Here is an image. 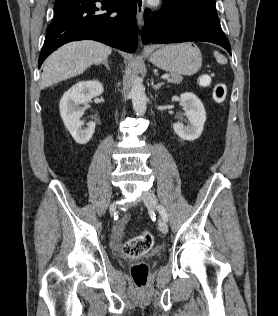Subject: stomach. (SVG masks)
<instances>
[{"instance_id": "0dacf381", "label": "stomach", "mask_w": 278, "mask_h": 316, "mask_svg": "<svg viewBox=\"0 0 278 316\" xmlns=\"http://www.w3.org/2000/svg\"><path fill=\"white\" fill-rule=\"evenodd\" d=\"M149 61L172 74L193 75L201 68L202 55L191 43L168 45L149 54Z\"/></svg>"}]
</instances>
